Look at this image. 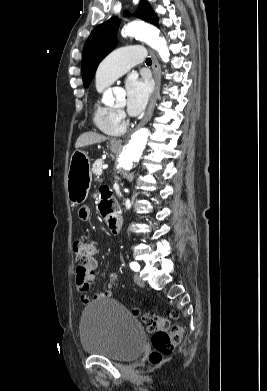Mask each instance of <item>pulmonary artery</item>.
<instances>
[{
    "label": "pulmonary artery",
    "mask_w": 267,
    "mask_h": 391,
    "mask_svg": "<svg viewBox=\"0 0 267 391\" xmlns=\"http://www.w3.org/2000/svg\"><path fill=\"white\" fill-rule=\"evenodd\" d=\"M143 47L130 45L118 48L106 56L96 72V86L105 87L123 75L128 69L145 60Z\"/></svg>",
    "instance_id": "1"
}]
</instances>
